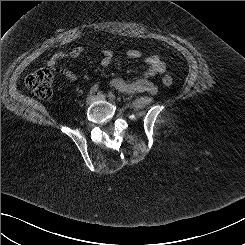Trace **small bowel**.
Masks as SVG:
<instances>
[{
	"label": "small bowel",
	"instance_id": "small-bowel-1",
	"mask_svg": "<svg viewBox=\"0 0 245 245\" xmlns=\"http://www.w3.org/2000/svg\"><path fill=\"white\" fill-rule=\"evenodd\" d=\"M84 53V49L81 47L74 48L69 52H60L54 54L48 61L47 65L58 75L66 78L69 81H76L77 74L70 68L59 66L60 60L65 58H75ZM102 54V65L109 66L114 60V53L109 49L101 50ZM126 56L129 59H140L142 54L136 49H130L126 52ZM147 64V69L145 70L143 76L134 81H126L123 78L117 77L110 80L109 85L116 89L117 91L124 94H135V93H149L155 94L157 91V86L154 83V79L162 74L166 66L164 62L157 55H150L145 58ZM97 90V86L91 88L92 92Z\"/></svg>",
	"mask_w": 245,
	"mask_h": 245
}]
</instances>
